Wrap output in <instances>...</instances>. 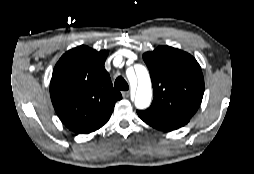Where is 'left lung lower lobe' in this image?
Wrapping results in <instances>:
<instances>
[{"label":"left lung lower lobe","instance_id":"1","mask_svg":"<svg viewBox=\"0 0 254 174\" xmlns=\"http://www.w3.org/2000/svg\"><path fill=\"white\" fill-rule=\"evenodd\" d=\"M137 114L144 122L150 126L166 132L176 130L187 124L190 120L187 118H177L164 115L150 109L145 111L138 110Z\"/></svg>","mask_w":254,"mask_h":174}]
</instances>
